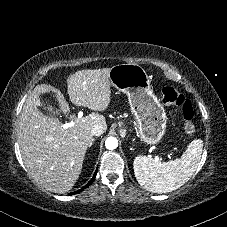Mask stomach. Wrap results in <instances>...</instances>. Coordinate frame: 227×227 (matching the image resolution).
Returning <instances> with one entry per match:
<instances>
[{
    "instance_id": "obj_1",
    "label": "stomach",
    "mask_w": 227,
    "mask_h": 227,
    "mask_svg": "<svg viewBox=\"0 0 227 227\" xmlns=\"http://www.w3.org/2000/svg\"><path fill=\"white\" fill-rule=\"evenodd\" d=\"M109 80L111 86L128 96L140 139L148 145L159 143L165 134L167 116L146 71L135 63L119 64L110 68Z\"/></svg>"
}]
</instances>
